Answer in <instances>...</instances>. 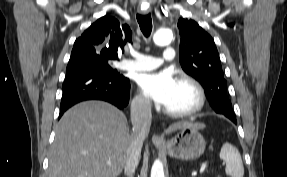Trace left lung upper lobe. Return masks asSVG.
Instances as JSON below:
<instances>
[{"instance_id":"1","label":"left lung upper lobe","mask_w":287,"mask_h":177,"mask_svg":"<svg viewBox=\"0 0 287 177\" xmlns=\"http://www.w3.org/2000/svg\"><path fill=\"white\" fill-rule=\"evenodd\" d=\"M178 28L181 35L180 64L183 70L201 83L212 108L234 116L213 38L192 19L180 18Z\"/></svg>"}]
</instances>
